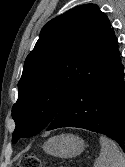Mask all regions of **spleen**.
<instances>
[{
  "label": "spleen",
  "instance_id": "spleen-1",
  "mask_svg": "<svg viewBox=\"0 0 125 167\" xmlns=\"http://www.w3.org/2000/svg\"><path fill=\"white\" fill-rule=\"evenodd\" d=\"M101 152L94 167H125V158L112 140L100 137Z\"/></svg>",
  "mask_w": 125,
  "mask_h": 167
}]
</instances>
